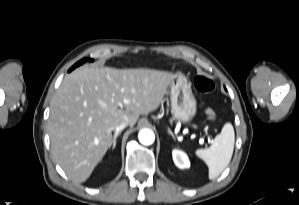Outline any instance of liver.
I'll return each instance as SVG.
<instances>
[{
  "instance_id": "liver-1",
  "label": "liver",
  "mask_w": 299,
  "mask_h": 205,
  "mask_svg": "<svg viewBox=\"0 0 299 205\" xmlns=\"http://www.w3.org/2000/svg\"><path fill=\"white\" fill-rule=\"evenodd\" d=\"M175 75L152 69L83 66L66 75L50 102L48 132L56 162L76 183L85 182L122 122L134 126L156 110Z\"/></svg>"
}]
</instances>
